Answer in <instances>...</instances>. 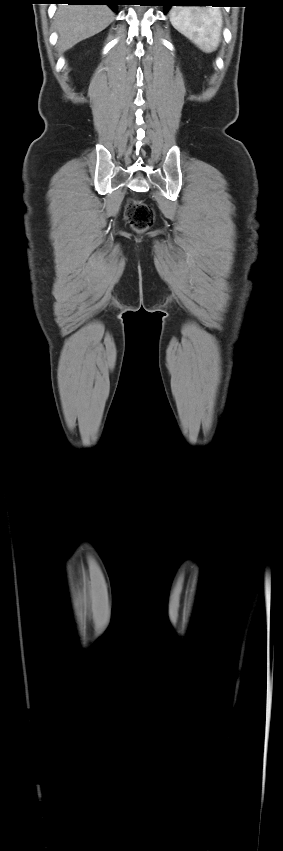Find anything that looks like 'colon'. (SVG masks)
<instances>
[{"label":"colon","mask_w":283,"mask_h":851,"mask_svg":"<svg viewBox=\"0 0 283 851\" xmlns=\"http://www.w3.org/2000/svg\"><path fill=\"white\" fill-rule=\"evenodd\" d=\"M125 219L135 231L143 232L152 226L155 214L146 203L131 199L125 208Z\"/></svg>","instance_id":"obj_1"}]
</instances>
